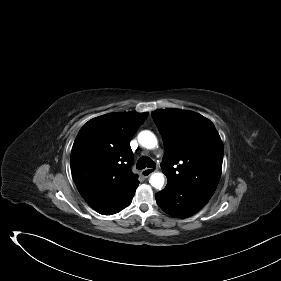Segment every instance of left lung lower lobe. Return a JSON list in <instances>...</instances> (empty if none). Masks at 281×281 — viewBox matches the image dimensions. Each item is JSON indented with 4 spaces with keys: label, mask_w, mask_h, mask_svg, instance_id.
<instances>
[{
    "label": "left lung lower lobe",
    "mask_w": 281,
    "mask_h": 281,
    "mask_svg": "<svg viewBox=\"0 0 281 281\" xmlns=\"http://www.w3.org/2000/svg\"><path fill=\"white\" fill-rule=\"evenodd\" d=\"M211 198L210 195L192 187L167 184L156 194L157 204L167 214L185 218L199 211Z\"/></svg>",
    "instance_id": "obj_1"
}]
</instances>
